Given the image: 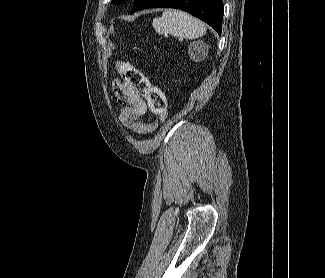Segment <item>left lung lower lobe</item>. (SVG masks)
Masks as SVG:
<instances>
[{
	"mask_svg": "<svg viewBox=\"0 0 325 278\" xmlns=\"http://www.w3.org/2000/svg\"><path fill=\"white\" fill-rule=\"evenodd\" d=\"M146 8L181 9L209 24L219 35L222 31V0H135L130 14Z\"/></svg>",
	"mask_w": 325,
	"mask_h": 278,
	"instance_id": "left-lung-lower-lobe-1",
	"label": "left lung lower lobe"
}]
</instances>
